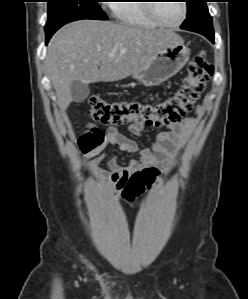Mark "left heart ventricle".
<instances>
[{"instance_id":"1","label":"left heart ventricle","mask_w":248,"mask_h":299,"mask_svg":"<svg viewBox=\"0 0 248 299\" xmlns=\"http://www.w3.org/2000/svg\"><path fill=\"white\" fill-rule=\"evenodd\" d=\"M156 11L163 21L175 24L179 22L182 17V3L180 0L164 1L157 4Z\"/></svg>"}]
</instances>
